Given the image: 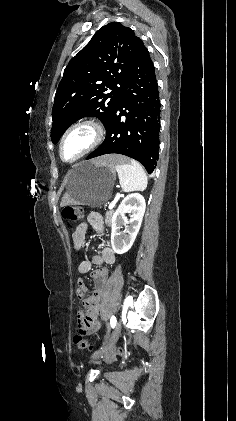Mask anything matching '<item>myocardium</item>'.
Instances as JSON below:
<instances>
[{
  "instance_id": "myocardium-1",
  "label": "myocardium",
  "mask_w": 236,
  "mask_h": 421,
  "mask_svg": "<svg viewBox=\"0 0 236 421\" xmlns=\"http://www.w3.org/2000/svg\"><path fill=\"white\" fill-rule=\"evenodd\" d=\"M79 129H88L91 134H92V138L90 143L88 144V146L85 148V150L72 162H70L69 164H73L78 162L79 160H81L83 157L87 156L88 154H90L91 152H93L95 149H97L104 141L105 136H106V131L103 127V125L97 121L94 120H83V121H79L73 125H71L62 135L60 142H59V146H58V155L59 158L62 162L67 163L63 160L62 158V148H63V144L66 140V138L73 133L76 130Z\"/></svg>"
}]
</instances>
